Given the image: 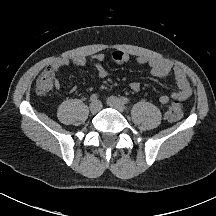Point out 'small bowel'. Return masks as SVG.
Here are the masks:
<instances>
[{
  "instance_id": "1",
  "label": "small bowel",
  "mask_w": 216,
  "mask_h": 216,
  "mask_svg": "<svg viewBox=\"0 0 216 216\" xmlns=\"http://www.w3.org/2000/svg\"><path fill=\"white\" fill-rule=\"evenodd\" d=\"M106 57L107 56L105 54H96L90 58H87L85 56L57 58L50 63L47 70L51 71L54 74L55 85L58 89H61V82L57 77V73L60 68L67 65L85 66L86 64L91 63L97 71L98 77L104 78L107 75L106 69L103 66ZM108 57L118 64H124L130 60L131 55L125 51L117 50L109 53ZM136 62L149 66L151 74L160 80H166L170 73L174 75L177 90L172 92L170 95H161L159 97L161 104L165 105L171 99L184 101L191 97L192 89L189 85L186 74L178 66L174 65L166 59L150 55H138L136 56ZM129 87L132 91L137 92L140 90V83L133 81L129 84ZM73 90V88L70 89V91Z\"/></svg>"
}]
</instances>
